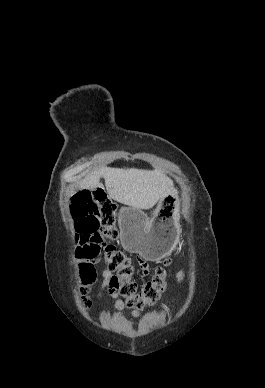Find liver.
Segmentation results:
<instances>
[{
    "mask_svg": "<svg viewBox=\"0 0 265 388\" xmlns=\"http://www.w3.org/2000/svg\"><path fill=\"white\" fill-rule=\"evenodd\" d=\"M104 178L107 194L112 200L132 206L137 210H150L159 200L168 196L173 182L161 170H123V168H100L79 182V188L93 190L103 188Z\"/></svg>",
    "mask_w": 265,
    "mask_h": 388,
    "instance_id": "liver-1",
    "label": "liver"
}]
</instances>
